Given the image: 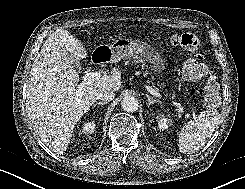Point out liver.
Returning <instances> with one entry per match:
<instances>
[{"label": "liver", "instance_id": "obj_1", "mask_svg": "<svg viewBox=\"0 0 245 189\" xmlns=\"http://www.w3.org/2000/svg\"><path fill=\"white\" fill-rule=\"evenodd\" d=\"M68 54L77 62L87 57L81 41L67 30L51 33L31 68L27 84V110L34 130L55 153L62 155L74 127L96 101L99 91L122 85L121 73L102 75L78 92L79 75Z\"/></svg>", "mask_w": 245, "mask_h": 189}]
</instances>
